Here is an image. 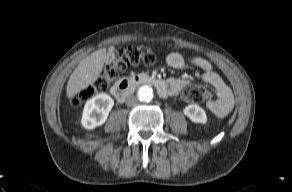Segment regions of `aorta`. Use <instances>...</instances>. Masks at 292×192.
Returning a JSON list of instances; mask_svg holds the SVG:
<instances>
[{
	"label": "aorta",
	"instance_id": "1",
	"mask_svg": "<svg viewBox=\"0 0 292 192\" xmlns=\"http://www.w3.org/2000/svg\"><path fill=\"white\" fill-rule=\"evenodd\" d=\"M137 95L141 101L149 102L153 98V90L150 86L143 85L138 89Z\"/></svg>",
	"mask_w": 292,
	"mask_h": 192
}]
</instances>
